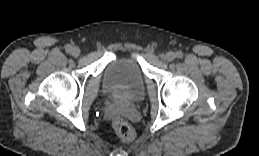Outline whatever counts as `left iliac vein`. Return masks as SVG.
Returning a JSON list of instances; mask_svg holds the SVG:
<instances>
[{
    "instance_id": "1",
    "label": "left iliac vein",
    "mask_w": 259,
    "mask_h": 156,
    "mask_svg": "<svg viewBox=\"0 0 259 156\" xmlns=\"http://www.w3.org/2000/svg\"><path fill=\"white\" fill-rule=\"evenodd\" d=\"M176 58V54L174 52H167L165 55V59L169 62L173 61Z\"/></svg>"
}]
</instances>
